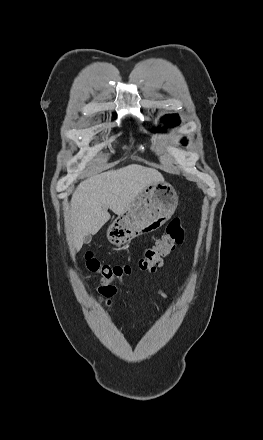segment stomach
Listing matches in <instances>:
<instances>
[{
  "instance_id": "stomach-1",
  "label": "stomach",
  "mask_w": 263,
  "mask_h": 440,
  "mask_svg": "<svg viewBox=\"0 0 263 440\" xmlns=\"http://www.w3.org/2000/svg\"><path fill=\"white\" fill-rule=\"evenodd\" d=\"M177 205L178 195L171 184L164 180L150 184L113 221L107 237L120 246L137 236L154 232L172 217Z\"/></svg>"
}]
</instances>
